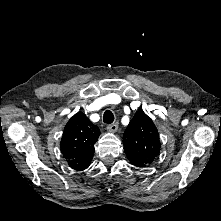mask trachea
Wrapping results in <instances>:
<instances>
[{
	"label": "trachea",
	"instance_id": "1",
	"mask_svg": "<svg viewBox=\"0 0 221 221\" xmlns=\"http://www.w3.org/2000/svg\"><path fill=\"white\" fill-rule=\"evenodd\" d=\"M103 121L106 124H111L114 121V115L110 110L105 111Z\"/></svg>",
	"mask_w": 221,
	"mask_h": 221
}]
</instances>
